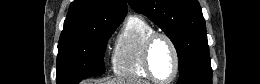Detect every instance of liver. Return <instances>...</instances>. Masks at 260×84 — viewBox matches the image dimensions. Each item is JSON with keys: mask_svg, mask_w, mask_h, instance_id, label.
I'll return each mask as SVG.
<instances>
[{"mask_svg": "<svg viewBox=\"0 0 260 84\" xmlns=\"http://www.w3.org/2000/svg\"><path fill=\"white\" fill-rule=\"evenodd\" d=\"M83 84H102V83H91L90 81H85ZM103 84H148L145 81H132V80H125V79H113L110 81H106Z\"/></svg>", "mask_w": 260, "mask_h": 84, "instance_id": "obj_1", "label": "liver"}]
</instances>
